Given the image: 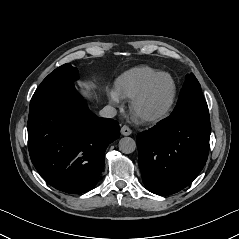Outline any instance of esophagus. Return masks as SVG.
I'll return each mask as SVG.
<instances>
[{"instance_id": "1", "label": "esophagus", "mask_w": 239, "mask_h": 239, "mask_svg": "<svg viewBox=\"0 0 239 239\" xmlns=\"http://www.w3.org/2000/svg\"><path fill=\"white\" fill-rule=\"evenodd\" d=\"M131 133H132V130L128 126L124 125V126L121 127V134L122 135L128 136Z\"/></svg>"}]
</instances>
